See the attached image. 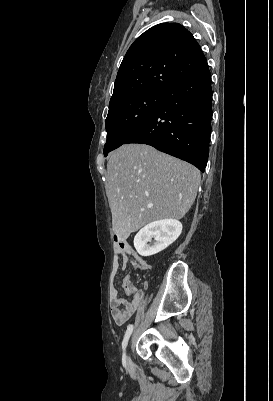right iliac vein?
<instances>
[{
    "mask_svg": "<svg viewBox=\"0 0 273 401\" xmlns=\"http://www.w3.org/2000/svg\"><path fill=\"white\" fill-rule=\"evenodd\" d=\"M126 365H127V368H129V369L133 368V362H132L131 357L129 355L126 357Z\"/></svg>",
    "mask_w": 273,
    "mask_h": 401,
    "instance_id": "right-iliac-vein-1",
    "label": "right iliac vein"
}]
</instances>
